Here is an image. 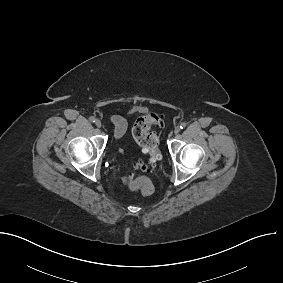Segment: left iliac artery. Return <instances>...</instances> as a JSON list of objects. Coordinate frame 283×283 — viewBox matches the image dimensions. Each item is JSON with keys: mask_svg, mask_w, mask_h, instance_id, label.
I'll use <instances>...</instances> for the list:
<instances>
[{"mask_svg": "<svg viewBox=\"0 0 283 283\" xmlns=\"http://www.w3.org/2000/svg\"><path fill=\"white\" fill-rule=\"evenodd\" d=\"M186 125H187V124H186L185 122H183V123L180 124V128H181V129H184V128L186 127Z\"/></svg>", "mask_w": 283, "mask_h": 283, "instance_id": "1", "label": "left iliac artery"}]
</instances>
